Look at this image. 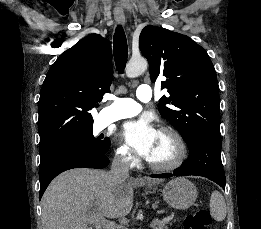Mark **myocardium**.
Returning <instances> with one entry per match:
<instances>
[{
  "label": "myocardium",
  "mask_w": 261,
  "mask_h": 229,
  "mask_svg": "<svg viewBox=\"0 0 261 229\" xmlns=\"http://www.w3.org/2000/svg\"><path fill=\"white\" fill-rule=\"evenodd\" d=\"M158 133L167 135L174 147V155L173 157L165 162V163H154L152 161L147 160L148 166L156 171H171L179 168L187 154L186 145L181 137V135L172 127L163 126L158 130Z\"/></svg>",
  "instance_id": "1"
}]
</instances>
